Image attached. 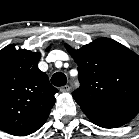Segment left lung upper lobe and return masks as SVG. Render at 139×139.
I'll use <instances>...</instances> for the list:
<instances>
[{"label": "left lung upper lobe", "mask_w": 139, "mask_h": 139, "mask_svg": "<svg viewBox=\"0 0 139 139\" xmlns=\"http://www.w3.org/2000/svg\"><path fill=\"white\" fill-rule=\"evenodd\" d=\"M78 65L81 86L73 98L84 111H139V56L109 38L75 50L65 44Z\"/></svg>", "instance_id": "obj_1"}]
</instances>
